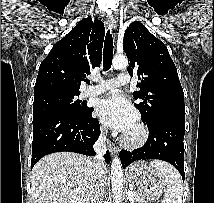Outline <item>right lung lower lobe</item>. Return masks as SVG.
<instances>
[{
	"mask_svg": "<svg viewBox=\"0 0 214 203\" xmlns=\"http://www.w3.org/2000/svg\"><path fill=\"white\" fill-rule=\"evenodd\" d=\"M93 108L87 113L53 112L33 119L31 168L43 156L61 151L95 155L93 145L100 135L97 119L92 118ZM106 163L110 154H105Z\"/></svg>",
	"mask_w": 214,
	"mask_h": 203,
	"instance_id": "obj_1",
	"label": "right lung lower lobe"
}]
</instances>
